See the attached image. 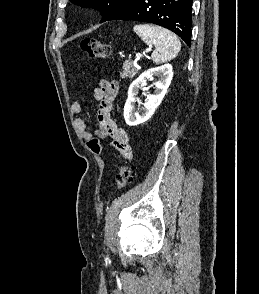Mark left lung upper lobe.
<instances>
[{
    "label": "left lung upper lobe",
    "instance_id": "1",
    "mask_svg": "<svg viewBox=\"0 0 259 294\" xmlns=\"http://www.w3.org/2000/svg\"><path fill=\"white\" fill-rule=\"evenodd\" d=\"M73 4L81 7H91L99 10L104 22L112 13L130 2L131 0H70Z\"/></svg>",
    "mask_w": 259,
    "mask_h": 294
}]
</instances>
